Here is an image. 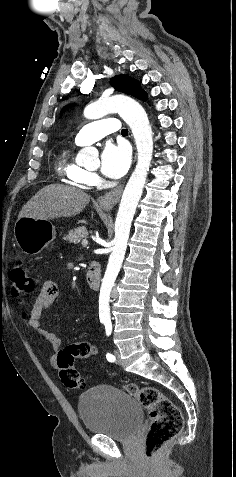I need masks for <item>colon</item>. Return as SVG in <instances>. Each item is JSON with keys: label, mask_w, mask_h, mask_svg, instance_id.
Segmentation results:
<instances>
[{"label": "colon", "mask_w": 236, "mask_h": 477, "mask_svg": "<svg viewBox=\"0 0 236 477\" xmlns=\"http://www.w3.org/2000/svg\"><path fill=\"white\" fill-rule=\"evenodd\" d=\"M12 296L22 301L34 293L37 279L30 276L21 264L14 266L10 272ZM91 344L74 343L62 349L57 355L59 376L63 384L69 388L83 387L81 376L73 367L75 359L91 357ZM125 390L134 396L148 411L151 426L145 438V455L153 459L158 451L170 440L176 437L183 428V416L179 408L159 389L153 386L139 387L133 383L127 384Z\"/></svg>", "instance_id": "5ec220e1"}]
</instances>
